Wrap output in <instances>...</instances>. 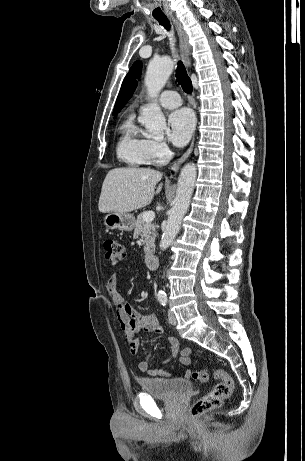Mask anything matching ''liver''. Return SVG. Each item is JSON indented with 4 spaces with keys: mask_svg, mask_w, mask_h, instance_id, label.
I'll use <instances>...</instances> for the list:
<instances>
[{
    "mask_svg": "<svg viewBox=\"0 0 305 461\" xmlns=\"http://www.w3.org/2000/svg\"><path fill=\"white\" fill-rule=\"evenodd\" d=\"M162 173L150 168H115L103 182L98 208L102 213H128L151 203L162 189ZM156 189V191H155Z\"/></svg>",
    "mask_w": 305,
    "mask_h": 461,
    "instance_id": "1",
    "label": "liver"
}]
</instances>
